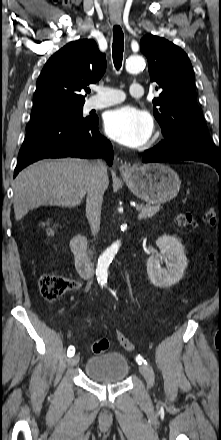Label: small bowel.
Masks as SVG:
<instances>
[{
	"mask_svg": "<svg viewBox=\"0 0 221 440\" xmlns=\"http://www.w3.org/2000/svg\"><path fill=\"white\" fill-rule=\"evenodd\" d=\"M79 286H80V284L78 282L70 280L68 282V291L72 290V289H75V288H78Z\"/></svg>",
	"mask_w": 221,
	"mask_h": 440,
	"instance_id": "c3829d8e",
	"label": "small bowel"
}]
</instances>
